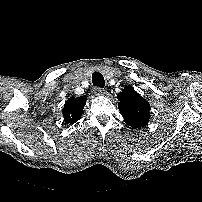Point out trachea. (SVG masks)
I'll list each match as a JSON object with an SVG mask.
<instances>
[{
	"label": "trachea",
	"mask_w": 202,
	"mask_h": 202,
	"mask_svg": "<svg viewBox=\"0 0 202 202\" xmlns=\"http://www.w3.org/2000/svg\"><path fill=\"white\" fill-rule=\"evenodd\" d=\"M92 83H93L94 86L104 88L105 80H104L103 75L101 73H99V72H94L92 74Z\"/></svg>",
	"instance_id": "obj_1"
}]
</instances>
